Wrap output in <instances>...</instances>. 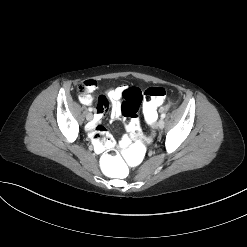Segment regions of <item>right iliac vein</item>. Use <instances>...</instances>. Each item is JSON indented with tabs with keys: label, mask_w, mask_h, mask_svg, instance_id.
<instances>
[{
	"label": "right iliac vein",
	"mask_w": 247,
	"mask_h": 247,
	"mask_svg": "<svg viewBox=\"0 0 247 247\" xmlns=\"http://www.w3.org/2000/svg\"><path fill=\"white\" fill-rule=\"evenodd\" d=\"M86 119H87L88 121H91V120L93 119V114H92V113H87Z\"/></svg>",
	"instance_id": "obj_1"
}]
</instances>
